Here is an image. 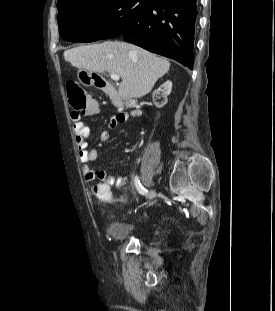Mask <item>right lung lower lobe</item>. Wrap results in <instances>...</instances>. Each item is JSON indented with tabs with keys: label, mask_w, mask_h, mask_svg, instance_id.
<instances>
[{
	"label": "right lung lower lobe",
	"mask_w": 275,
	"mask_h": 311,
	"mask_svg": "<svg viewBox=\"0 0 275 311\" xmlns=\"http://www.w3.org/2000/svg\"><path fill=\"white\" fill-rule=\"evenodd\" d=\"M196 17L197 0H157L136 15L121 35L127 42L193 69Z\"/></svg>",
	"instance_id": "obj_1"
}]
</instances>
